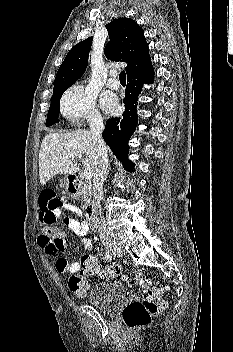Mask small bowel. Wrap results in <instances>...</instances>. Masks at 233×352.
<instances>
[{
    "label": "small bowel",
    "instance_id": "c3829d8e",
    "mask_svg": "<svg viewBox=\"0 0 233 352\" xmlns=\"http://www.w3.org/2000/svg\"><path fill=\"white\" fill-rule=\"evenodd\" d=\"M67 210L78 215L79 219L64 218L65 224L76 234L85 236L91 233L89 223L84 214L77 206L70 203H62L51 187L43 188L39 193V219L41 222L49 221L53 226L57 225L59 219L63 217V211ZM38 244L46 256L55 257V267L59 274H74L81 270L82 263L74 262L69 264L65 257L60 255L64 250L63 245H57L40 236ZM82 244L86 249L94 252V246L90 239L84 238Z\"/></svg>",
    "mask_w": 233,
    "mask_h": 352
}]
</instances>
